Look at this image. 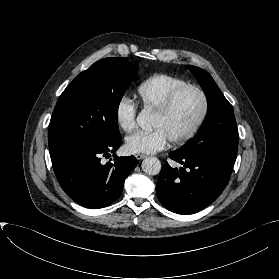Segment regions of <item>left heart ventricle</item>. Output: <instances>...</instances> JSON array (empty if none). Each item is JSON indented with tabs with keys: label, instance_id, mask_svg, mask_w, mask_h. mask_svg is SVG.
<instances>
[{
	"label": "left heart ventricle",
	"instance_id": "b2bd125f",
	"mask_svg": "<svg viewBox=\"0 0 279 279\" xmlns=\"http://www.w3.org/2000/svg\"><path fill=\"white\" fill-rule=\"evenodd\" d=\"M202 109V99L193 90L179 95L171 111L164 116L154 114L152 128H160L169 140L184 135L196 122Z\"/></svg>",
	"mask_w": 279,
	"mask_h": 279
}]
</instances>
